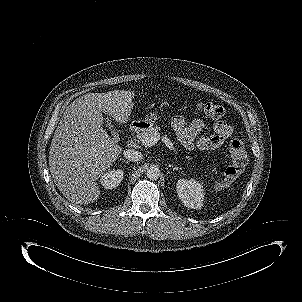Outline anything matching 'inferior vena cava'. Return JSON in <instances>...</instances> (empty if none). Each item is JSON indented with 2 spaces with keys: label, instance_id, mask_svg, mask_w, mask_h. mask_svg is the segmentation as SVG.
I'll return each mask as SVG.
<instances>
[{
  "label": "inferior vena cava",
  "instance_id": "inferior-vena-cava-1",
  "mask_svg": "<svg viewBox=\"0 0 302 302\" xmlns=\"http://www.w3.org/2000/svg\"><path fill=\"white\" fill-rule=\"evenodd\" d=\"M124 157L132 162H138L143 159V155L141 152L135 149H126L123 151Z\"/></svg>",
  "mask_w": 302,
  "mask_h": 302
}]
</instances>
